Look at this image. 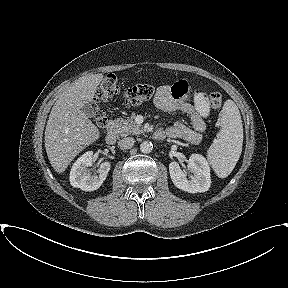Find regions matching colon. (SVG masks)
Here are the masks:
<instances>
[{
	"mask_svg": "<svg viewBox=\"0 0 288 288\" xmlns=\"http://www.w3.org/2000/svg\"><path fill=\"white\" fill-rule=\"evenodd\" d=\"M121 93L120 82L115 75H107L95 94L97 104L119 95ZM155 93V87L149 84H138L127 88L122 92L126 105L134 106L149 101ZM222 105V95L219 92L210 94V106L219 109ZM96 121L99 127L103 128L106 124V117L103 111L97 106Z\"/></svg>",
	"mask_w": 288,
	"mask_h": 288,
	"instance_id": "5ec220e1",
	"label": "colon"
}]
</instances>
